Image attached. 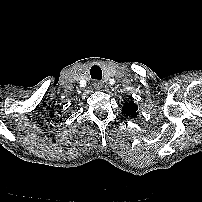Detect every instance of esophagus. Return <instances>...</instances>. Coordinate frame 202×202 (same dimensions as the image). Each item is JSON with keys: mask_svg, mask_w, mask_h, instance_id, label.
<instances>
[{"mask_svg": "<svg viewBox=\"0 0 202 202\" xmlns=\"http://www.w3.org/2000/svg\"><path fill=\"white\" fill-rule=\"evenodd\" d=\"M93 87L96 89V90H100L102 88V83L100 81H94L93 82Z\"/></svg>", "mask_w": 202, "mask_h": 202, "instance_id": "esophagus-1", "label": "esophagus"}]
</instances>
